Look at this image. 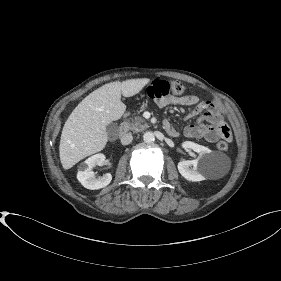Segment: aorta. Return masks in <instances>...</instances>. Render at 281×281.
I'll list each match as a JSON object with an SVG mask.
<instances>
[{"label":"aorta","instance_id":"762f6f07","mask_svg":"<svg viewBox=\"0 0 281 281\" xmlns=\"http://www.w3.org/2000/svg\"><path fill=\"white\" fill-rule=\"evenodd\" d=\"M143 140L145 143H148V144L154 142L155 136H154L153 132H150V131L145 132L143 135Z\"/></svg>","mask_w":281,"mask_h":281}]
</instances>
